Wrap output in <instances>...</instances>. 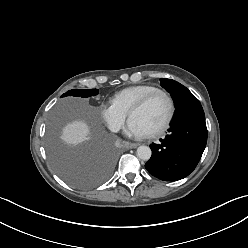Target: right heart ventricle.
Returning <instances> with one entry per match:
<instances>
[{
    "label": "right heart ventricle",
    "instance_id": "1",
    "mask_svg": "<svg viewBox=\"0 0 248 248\" xmlns=\"http://www.w3.org/2000/svg\"><path fill=\"white\" fill-rule=\"evenodd\" d=\"M157 89V87L149 84L129 86L115 93L112 97V102L128 113L139 99Z\"/></svg>",
    "mask_w": 248,
    "mask_h": 248
}]
</instances>
